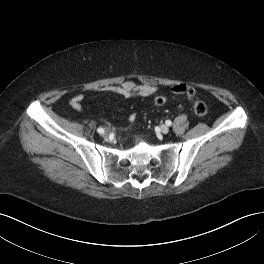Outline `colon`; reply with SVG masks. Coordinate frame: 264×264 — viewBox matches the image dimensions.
Here are the masks:
<instances>
[{"mask_svg": "<svg viewBox=\"0 0 264 264\" xmlns=\"http://www.w3.org/2000/svg\"><path fill=\"white\" fill-rule=\"evenodd\" d=\"M185 93L192 105V108L198 116H205L208 113V108L206 104L196 98L195 89L191 86L187 87ZM167 98L163 95L156 96L154 99V103L157 106H162L166 103Z\"/></svg>", "mask_w": 264, "mask_h": 264, "instance_id": "1", "label": "colon"}]
</instances>
